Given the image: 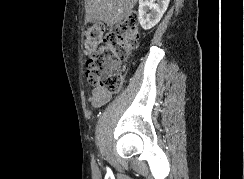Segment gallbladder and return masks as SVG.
Listing matches in <instances>:
<instances>
[{"label": "gallbladder", "mask_w": 244, "mask_h": 179, "mask_svg": "<svg viewBox=\"0 0 244 179\" xmlns=\"http://www.w3.org/2000/svg\"><path fill=\"white\" fill-rule=\"evenodd\" d=\"M91 22H98V20H91Z\"/></svg>", "instance_id": "obj_1"}]
</instances>
